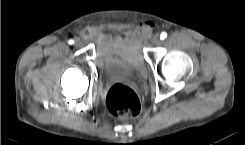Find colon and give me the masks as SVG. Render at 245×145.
<instances>
[{"instance_id":"1","label":"colon","mask_w":245,"mask_h":145,"mask_svg":"<svg viewBox=\"0 0 245 145\" xmlns=\"http://www.w3.org/2000/svg\"><path fill=\"white\" fill-rule=\"evenodd\" d=\"M106 105L118 117H130L139 113L141 105L136 92L128 85L114 83L108 90Z\"/></svg>"}]
</instances>
